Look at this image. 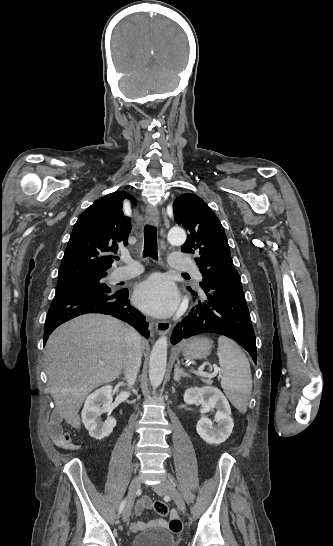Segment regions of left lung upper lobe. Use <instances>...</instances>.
Masks as SVG:
<instances>
[{
	"instance_id": "1",
	"label": "left lung upper lobe",
	"mask_w": 333,
	"mask_h": 546,
	"mask_svg": "<svg viewBox=\"0 0 333 546\" xmlns=\"http://www.w3.org/2000/svg\"><path fill=\"white\" fill-rule=\"evenodd\" d=\"M174 219L188 231L181 251L196 255L203 280L210 291L243 290L234 268L225 231L211 208L197 195L185 193L173 203Z\"/></svg>"
}]
</instances>
